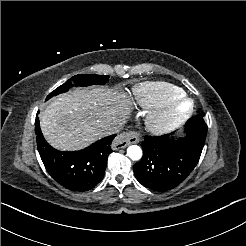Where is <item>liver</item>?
<instances>
[{"label":"liver","instance_id":"1","mask_svg":"<svg viewBox=\"0 0 246 246\" xmlns=\"http://www.w3.org/2000/svg\"><path fill=\"white\" fill-rule=\"evenodd\" d=\"M131 102L103 87L77 88L55 98L40 114L41 130L50 145L62 151L82 149L114 126H123Z\"/></svg>","mask_w":246,"mask_h":246}]
</instances>
